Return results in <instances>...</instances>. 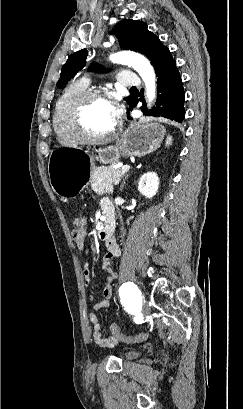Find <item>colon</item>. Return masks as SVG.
I'll list each match as a JSON object with an SVG mask.
<instances>
[{"instance_id": "colon-1", "label": "colon", "mask_w": 243, "mask_h": 409, "mask_svg": "<svg viewBox=\"0 0 243 409\" xmlns=\"http://www.w3.org/2000/svg\"><path fill=\"white\" fill-rule=\"evenodd\" d=\"M73 223H74V230L72 232L73 239L76 242L77 246L79 248H82L85 237L86 219L84 217L79 216L74 219ZM110 330L115 338L125 343L140 342L146 339L147 337V333H140L135 336L126 335L122 333L120 328L114 323L110 325Z\"/></svg>"}]
</instances>
